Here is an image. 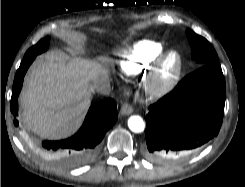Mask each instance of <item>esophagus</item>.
<instances>
[{
  "mask_svg": "<svg viewBox=\"0 0 245 187\" xmlns=\"http://www.w3.org/2000/svg\"><path fill=\"white\" fill-rule=\"evenodd\" d=\"M133 112L132 106H130L128 103H124L121 106L120 113L123 116L130 115Z\"/></svg>",
  "mask_w": 245,
  "mask_h": 187,
  "instance_id": "34e87169",
  "label": "esophagus"
}]
</instances>
